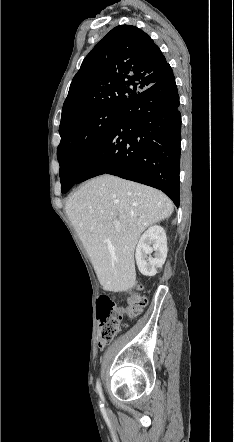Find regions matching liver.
<instances>
[{"instance_id": "obj_1", "label": "liver", "mask_w": 234, "mask_h": 442, "mask_svg": "<svg viewBox=\"0 0 234 442\" xmlns=\"http://www.w3.org/2000/svg\"><path fill=\"white\" fill-rule=\"evenodd\" d=\"M65 210L103 289L124 292L137 284L134 250L141 233L169 218L174 207L159 190L102 175L76 191Z\"/></svg>"}]
</instances>
